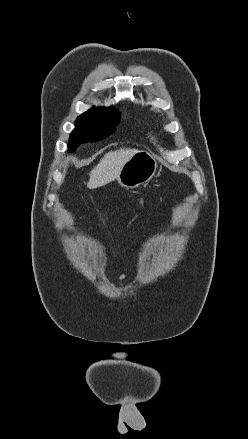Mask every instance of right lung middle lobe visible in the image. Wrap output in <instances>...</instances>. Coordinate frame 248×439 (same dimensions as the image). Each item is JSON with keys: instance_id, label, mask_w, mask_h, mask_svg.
Here are the masks:
<instances>
[{"instance_id": "dd1d6c3e", "label": "right lung middle lobe", "mask_w": 248, "mask_h": 439, "mask_svg": "<svg viewBox=\"0 0 248 439\" xmlns=\"http://www.w3.org/2000/svg\"><path fill=\"white\" fill-rule=\"evenodd\" d=\"M120 113L93 108L80 115L75 130L70 134L68 148L74 150L81 143L100 141L115 131Z\"/></svg>"}]
</instances>
